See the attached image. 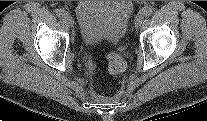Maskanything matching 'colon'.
I'll return each instance as SVG.
<instances>
[{"label":"colon","mask_w":207,"mask_h":121,"mask_svg":"<svg viewBox=\"0 0 207 121\" xmlns=\"http://www.w3.org/2000/svg\"><path fill=\"white\" fill-rule=\"evenodd\" d=\"M108 70L111 74H120L126 69V62L119 52H111L107 56Z\"/></svg>","instance_id":"5ec220e1"}]
</instances>
